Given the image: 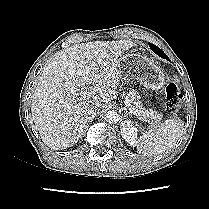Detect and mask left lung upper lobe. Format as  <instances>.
I'll use <instances>...</instances> for the list:
<instances>
[{"label":"left lung upper lobe","instance_id":"1","mask_svg":"<svg viewBox=\"0 0 209 209\" xmlns=\"http://www.w3.org/2000/svg\"><path fill=\"white\" fill-rule=\"evenodd\" d=\"M149 46H150L151 50L154 53H156L158 56H160L161 58L169 60L167 55L161 49H159L157 46H155L154 44H151V43H149Z\"/></svg>","mask_w":209,"mask_h":209}]
</instances>
